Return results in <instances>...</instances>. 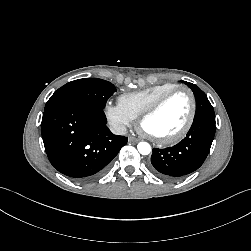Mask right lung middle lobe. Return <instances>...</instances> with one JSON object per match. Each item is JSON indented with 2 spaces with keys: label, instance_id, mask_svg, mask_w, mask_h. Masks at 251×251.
<instances>
[{
  "label": "right lung middle lobe",
  "instance_id": "dd1d6c3e",
  "mask_svg": "<svg viewBox=\"0 0 251 251\" xmlns=\"http://www.w3.org/2000/svg\"><path fill=\"white\" fill-rule=\"evenodd\" d=\"M116 91L113 84L98 78L71 81L50 97L45 108L62 103L88 104L103 109L109 97Z\"/></svg>",
  "mask_w": 251,
  "mask_h": 251
}]
</instances>
